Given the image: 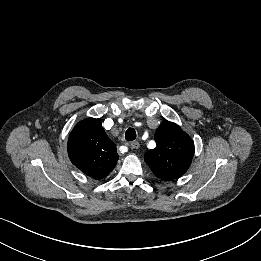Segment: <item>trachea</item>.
I'll use <instances>...</instances> for the list:
<instances>
[{
  "mask_svg": "<svg viewBox=\"0 0 261 261\" xmlns=\"http://www.w3.org/2000/svg\"><path fill=\"white\" fill-rule=\"evenodd\" d=\"M125 139L127 141H133L136 139V131L133 128H129L125 132Z\"/></svg>",
  "mask_w": 261,
  "mask_h": 261,
  "instance_id": "trachea-1",
  "label": "trachea"
}]
</instances>
